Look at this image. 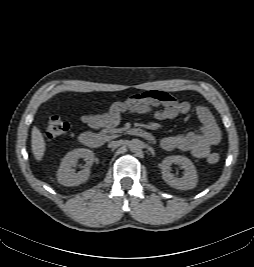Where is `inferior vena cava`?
Listing matches in <instances>:
<instances>
[{
    "mask_svg": "<svg viewBox=\"0 0 254 267\" xmlns=\"http://www.w3.org/2000/svg\"><path fill=\"white\" fill-rule=\"evenodd\" d=\"M117 144V141H112L108 144V147L111 148Z\"/></svg>",
    "mask_w": 254,
    "mask_h": 267,
    "instance_id": "602c4592",
    "label": "inferior vena cava"
}]
</instances>
